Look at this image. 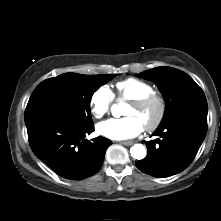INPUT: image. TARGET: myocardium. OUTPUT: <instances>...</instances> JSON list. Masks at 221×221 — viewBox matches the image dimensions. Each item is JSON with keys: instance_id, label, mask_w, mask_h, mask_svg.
<instances>
[{"instance_id": "obj_1", "label": "myocardium", "mask_w": 221, "mask_h": 221, "mask_svg": "<svg viewBox=\"0 0 221 221\" xmlns=\"http://www.w3.org/2000/svg\"><path fill=\"white\" fill-rule=\"evenodd\" d=\"M129 104L136 108H145L152 104L157 105L158 113H157L156 118L154 119L152 123L144 127V129L148 132L155 131L157 128H159V126L162 124L166 116L167 104H166L165 98L162 95L155 93V92L149 95H146L142 98L131 100Z\"/></svg>"}]
</instances>
